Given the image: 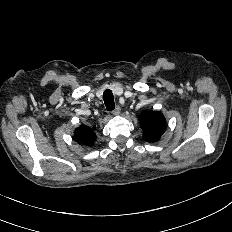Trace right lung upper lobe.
<instances>
[{"instance_id":"1","label":"right lung upper lobe","mask_w":232,"mask_h":232,"mask_svg":"<svg viewBox=\"0 0 232 232\" xmlns=\"http://www.w3.org/2000/svg\"><path fill=\"white\" fill-rule=\"evenodd\" d=\"M95 128L80 126L74 131V139L81 145L92 146L96 139Z\"/></svg>"}]
</instances>
